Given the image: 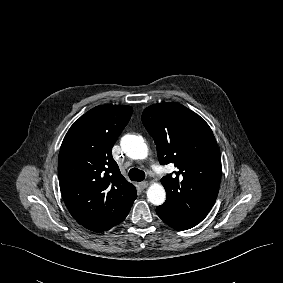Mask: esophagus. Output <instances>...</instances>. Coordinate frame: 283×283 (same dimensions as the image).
Masks as SVG:
<instances>
[{"label":"esophagus","instance_id":"obj_1","mask_svg":"<svg viewBox=\"0 0 283 283\" xmlns=\"http://www.w3.org/2000/svg\"><path fill=\"white\" fill-rule=\"evenodd\" d=\"M149 183L147 181L139 183V186L142 190L146 189L148 187Z\"/></svg>","mask_w":283,"mask_h":283}]
</instances>
